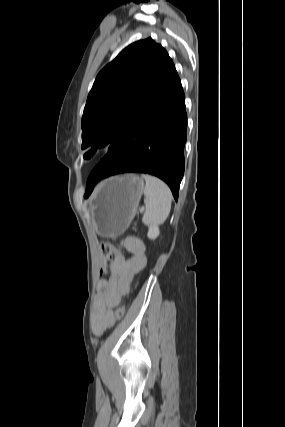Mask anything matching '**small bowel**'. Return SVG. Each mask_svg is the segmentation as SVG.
I'll return each mask as SVG.
<instances>
[{"instance_id":"c3829d8e","label":"small bowel","mask_w":285,"mask_h":427,"mask_svg":"<svg viewBox=\"0 0 285 427\" xmlns=\"http://www.w3.org/2000/svg\"><path fill=\"white\" fill-rule=\"evenodd\" d=\"M123 244L130 258L117 256L110 265L108 278L100 280L96 286L92 324L97 336L113 325V309L129 292L134 275L146 265L145 245L141 239L128 237Z\"/></svg>"}]
</instances>
